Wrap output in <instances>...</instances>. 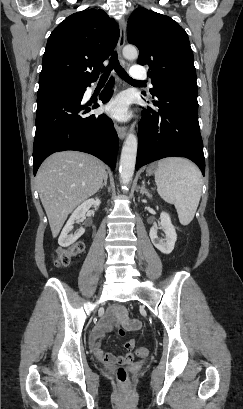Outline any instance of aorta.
<instances>
[{"label": "aorta", "instance_id": "1", "mask_svg": "<svg viewBox=\"0 0 243 409\" xmlns=\"http://www.w3.org/2000/svg\"><path fill=\"white\" fill-rule=\"evenodd\" d=\"M123 56L126 59L133 60L138 57V51L136 47L127 45L123 48ZM137 144H138L137 136L134 134L133 131L129 132L122 147L119 166L122 189L125 191L127 190V185L132 180L134 174L137 155Z\"/></svg>", "mask_w": 243, "mask_h": 409}]
</instances>
